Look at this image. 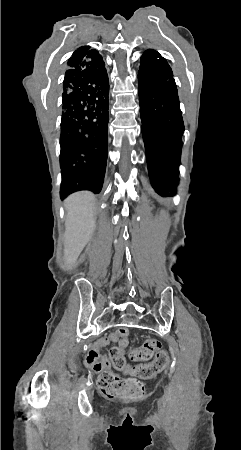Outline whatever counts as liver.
Instances as JSON below:
<instances>
[{
  "mask_svg": "<svg viewBox=\"0 0 241 450\" xmlns=\"http://www.w3.org/2000/svg\"><path fill=\"white\" fill-rule=\"evenodd\" d=\"M95 202L96 198L92 192H76L64 202L67 212L64 248L66 270L74 266L95 230Z\"/></svg>",
  "mask_w": 241,
  "mask_h": 450,
  "instance_id": "6515ba94",
  "label": "liver"
}]
</instances>
